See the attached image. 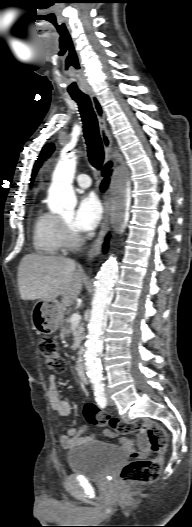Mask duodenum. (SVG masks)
<instances>
[{"label": "duodenum", "instance_id": "1", "mask_svg": "<svg viewBox=\"0 0 192 527\" xmlns=\"http://www.w3.org/2000/svg\"><path fill=\"white\" fill-rule=\"evenodd\" d=\"M76 371H77V375H78V377L80 378L81 381H83V382H87L88 381V378H87L86 372H85V366H84V364L82 362L77 364Z\"/></svg>", "mask_w": 192, "mask_h": 527}]
</instances>
